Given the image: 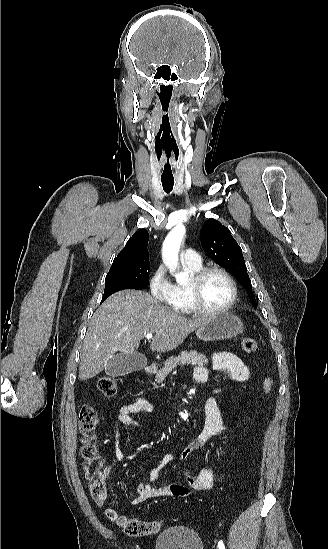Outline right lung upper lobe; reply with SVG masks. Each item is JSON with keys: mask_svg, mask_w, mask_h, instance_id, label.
<instances>
[{"mask_svg": "<svg viewBox=\"0 0 328 549\" xmlns=\"http://www.w3.org/2000/svg\"><path fill=\"white\" fill-rule=\"evenodd\" d=\"M149 234L146 229H140L128 240L124 249L114 259L109 271L122 268L131 263L149 260L147 244Z\"/></svg>", "mask_w": 328, "mask_h": 549, "instance_id": "right-lung-upper-lobe-1", "label": "right lung upper lobe"}]
</instances>
